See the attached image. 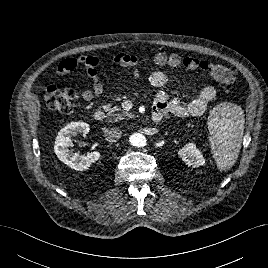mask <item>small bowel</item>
Listing matches in <instances>:
<instances>
[{"instance_id": "small-bowel-1", "label": "small bowel", "mask_w": 268, "mask_h": 268, "mask_svg": "<svg viewBox=\"0 0 268 268\" xmlns=\"http://www.w3.org/2000/svg\"><path fill=\"white\" fill-rule=\"evenodd\" d=\"M115 62L118 65L126 62L128 70L126 71L130 77L138 78L140 70L137 66L138 58L130 54H118L115 57ZM78 66L86 68L87 73L93 81L92 89H87L82 92V98L85 101H91L101 97L104 94V85L99 76V59L96 56H80L67 58L62 60L57 67V74L63 75L74 70ZM151 86L158 90L154 102L153 112L162 114L172 113L178 117L201 116L203 115L210 104L215 100L217 92L212 86L203 87L196 98L183 103L178 98H169L163 91V88L171 82V78L163 71H153L148 78ZM56 89V85L48 86V92Z\"/></svg>"}]
</instances>
